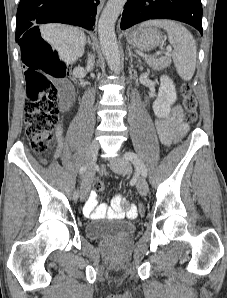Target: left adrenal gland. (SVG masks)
Wrapping results in <instances>:
<instances>
[{
	"instance_id": "left-adrenal-gland-1",
	"label": "left adrenal gland",
	"mask_w": 227,
	"mask_h": 298,
	"mask_svg": "<svg viewBox=\"0 0 227 298\" xmlns=\"http://www.w3.org/2000/svg\"><path fill=\"white\" fill-rule=\"evenodd\" d=\"M128 55L130 57L131 62L133 61V58H136L139 64H141V60L131 51L130 47H127Z\"/></svg>"
}]
</instances>
